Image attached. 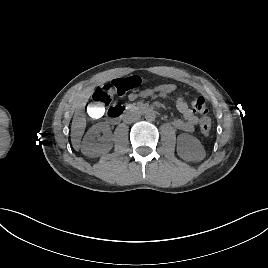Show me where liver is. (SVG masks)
Here are the masks:
<instances>
[{
  "mask_svg": "<svg viewBox=\"0 0 268 268\" xmlns=\"http://www.w3.org/2000/svg\"><path fill=\"white\" fill-rule=\"evenodd\" d=\"M92 87L85 89L77 99V107L71 125V142L75 149H79L81 138L86 127L84 105L90 98Z\"/></svg>",
  "mask_w": 268,
  "mask_h": 268,
  "instance_id": "obj_1",
  "label": "liver"
}]
</instances>
